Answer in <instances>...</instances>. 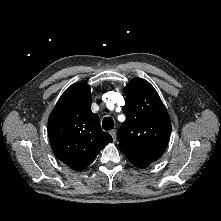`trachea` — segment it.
I'll list each match as a JSON object with an SVG mask.
<instances>
[{
	"mask_svg": "<svg viewBox=\"0 0 221 221\" xmlns=\"http://www.w3.org/2000/svg\"><path fill=\"white\" fill-rule=\"evenodd\" d=\"M102 127L104 130H111L114 127V121L111 117H105L102 121Z\"/></svg>",
	"mask_w": 221,
	"mask_h": 221,
	"instance_id": "3493384b",
	"label": "trachea"
}]
</instances>
